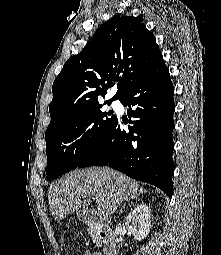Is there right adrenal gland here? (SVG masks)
I'll return each mask as SVG.
<instances>
[{"instance_id":"2a0ac1e0","label":"right adrenal gland","mask_w":221,"mask_h":255,"mask_svg":"<svg viewBox=\"0 0 221 255\" xmlns=\"http://www.w3.org/2000/svg\"><path fill=\"white\" fill-rule=\"evenodd\" d=\"M143 192H145V191H143V189H140L138 194H135V195L131 196L130 198L126 199L125 203L123 204V206H122V208L120 210V214L122 213V210L124 209V207L126 205V202H129V201H132L134 199H137L140 196V194H143Z\"/></svg>"}]
</instances>
